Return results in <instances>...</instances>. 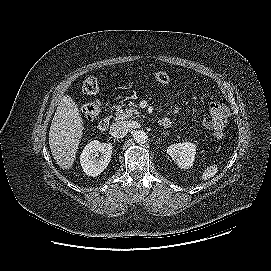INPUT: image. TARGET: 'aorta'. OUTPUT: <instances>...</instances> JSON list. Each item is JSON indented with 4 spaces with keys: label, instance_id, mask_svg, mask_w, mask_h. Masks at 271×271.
<instances>
[{
    "label": "aorta",
    "instance_id": "762f6f07",
    "mask_svg": "<svg viewBox=\"0 0 271 271\" xmlns=\"http://www.w3.org/2000/svg\"><path fill=\"white\" fill-rule=\"evenodd\" d=\"M134 140L136 143L142 145L145 144L148 140V136L146 134V132L139 130V131H135L133 134Z\"/></svg>",
    "mask_w": 271,
    "mask_h": 271
}]
</instances>
